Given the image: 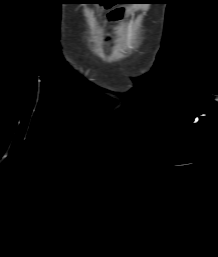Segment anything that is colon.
Returning a JSON list of instances; mask_svg holds the SVG:
<instances>
[{
    "instance_id": "obj_1",
    "label": "colon",
    "mask_w": 218,
    "mask_h": 257,
    "mask_svg": "<svg viewBox=\"0 0 218 257\" xmlns=\"http://www.w3.org/2000/svg\"><path fill=\"white\" fill-rule=\"evenodd\" d=\"M98 10H128V5H98ZM120 11H114L110 14L111 19H118Z\"/></svg>"
}]
</instances>
